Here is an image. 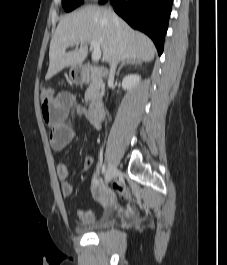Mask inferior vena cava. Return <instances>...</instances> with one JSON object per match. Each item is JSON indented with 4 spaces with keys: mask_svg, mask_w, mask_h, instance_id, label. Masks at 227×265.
Listing matches in <instances>:
<instances>
[{
    "mask_svg": "<svg viewBox=\"0 0 227 265\" xmlns=\"http://www.w3.org/2000/svg\"><path fill=\"white\" fill-rule=\"evenodd\" d=\"M113 19L116 23L118 22V17L115 13H113ZM120 41H121V34L118 31L117 35H116V42L120 43ZM117 63H118V56L116 55V56H113L111 61H110V74H109V80H108L109 83L113 82V80H114V75H115Z\"/></svg>",
    "mask_w": 227,
    "mask_h": 265,
    "instance_id": "obj_1",
    "label": "inferior vena cava"
}]
</instances>
